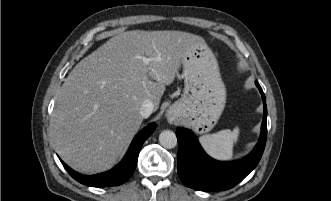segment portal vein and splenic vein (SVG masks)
<instances>
[{
  "label": "portal vein and splenic vein",
  "instance_id": "18ae733b",
  "mask_svg": "<svg viewBox=\"0 0 331 201\" xmlns=\"http://www.w3.org/2000/svg\"><path fill=\"white\" fill-rule=\"evenodd\" d=\"M152 60H155L154 58H146V57H143V61L145 62V63H149L150 61H152Z\"/></svg>",
  "mask_w": 331,
  "mask_h": 201
}]
</instances>
